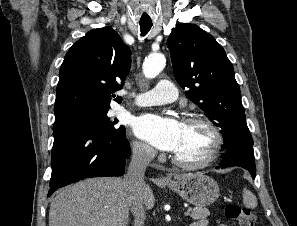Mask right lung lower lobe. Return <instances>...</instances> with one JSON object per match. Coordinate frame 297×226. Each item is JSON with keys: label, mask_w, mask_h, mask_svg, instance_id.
Listing matches in <instances>:
<instances>
[{"label": "right lung lower lobe", "mask_w": 297, "mask_h": 226, "mask_svg": "<svg viewBox=\"0 0 297 226\" xmlns=\"http://www.w3.org/2000/svg\"><path fill=\"white\" fill-rule=\"evenodd\" d=\"M53 131L48 196L81 179L124 174L130 157L126 134L108 135L72 122L54 123Z\"/></svg>", "instance_id": "obj_1"}]
</instances>
